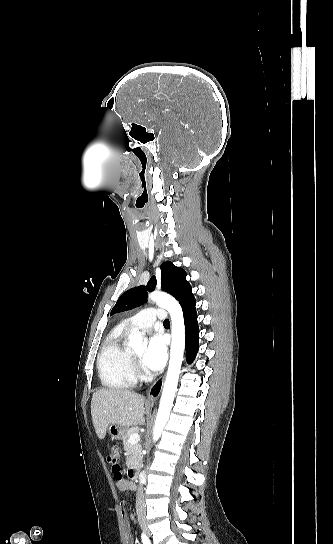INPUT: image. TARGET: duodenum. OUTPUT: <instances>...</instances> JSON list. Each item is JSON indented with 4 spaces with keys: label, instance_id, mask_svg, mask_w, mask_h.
I'll return each instance as SVG.
<instances>
[{
    "label": "duodenum",
    "instance_id": "duodenum-1",
    "mask_svg": "<svg viewBox=\"0 0 333 544\" xmlns=\"http://www.w3.org/2000/svg\"><path fill=\"white\" fill-rule=\"evenodd\" d=\"M127 473H128L129 478L132 479V480H137L138 477H139V469H138V467H136L134 465H132V466H130L128 468Z\"/></svg>",
    "mask_w": 333,
    "mask_h": 544
}]
</instances>
